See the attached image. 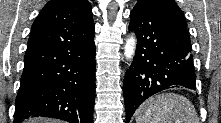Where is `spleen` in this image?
<instances>
[{
    "label": "spleen",
    "instance_id": "spleen-1",
    "mask_svg": "<svg viewBox=\"0 0 221 123\" xmlns=\"http://www.w3.org/2000/svg\"><path fill=\"white\" fill-rule=\"evenodd\" d=\"M136 123H199L194 105L184 96L167 93L146 100L135 112Z\"/></svg>",
    "mask_w": 221,
    "mask_h": 123
}]
</instances>
